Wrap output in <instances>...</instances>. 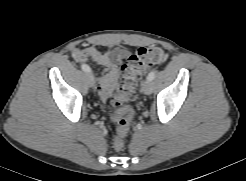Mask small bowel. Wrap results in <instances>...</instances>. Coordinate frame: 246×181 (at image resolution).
I'll use <instances>...</instances> for the list:
<instances>
[{
    "instance_id": "obj_1",
    "label": "small bowel",
    "mask_w": 246,
    "mask_h": 181,
    "mask_svg": "<svg viewBox=\"0 0 246 181\" xmlns=\"http://www.w3.org/2000/svg\"><path fill=\"white\" fill-rule=\"evenodd\" d=\"M127 52L119 47L101 50L98 46L74 48L72 57L77 62L91 59L104 68V72L96 79V89L102 101H106L117 87L120 78V63L125 59Z\"/></svg>"
}]
</instances>
